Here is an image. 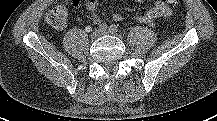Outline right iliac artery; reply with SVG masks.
Returning <instances> with one entry per match:
<instances>
[{
    "label": "right iliac artery",
    "mask_w": 217,
    "mask_h": 121,
    "mask_svg": "<svg viewBox=\"0 0 217 121\" xmlns=\"http://www.w3.org/2000/svg\"><path fill=\"white\" fill-rule=\"evenodd\" d=\"M106 29H107V25L105 23H102V24L99 25V30L100 31H104Z\"/></svg>",
    "instance_id": "82829eb1"
}]
</instances>
